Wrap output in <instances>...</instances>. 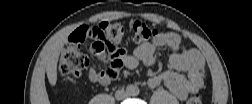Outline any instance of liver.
<instances>
[{"label":"liver","instance_id":"1","mask_svg":"<svg viewBox=\"0 0 252 104\" xmlns=\"http://www.w3.org/2000/svg\"><path fill=\"white\" fill-rule=\"evenodd\" d=\"M68 35L69 32H64L60 35L53 44L50 55L47 59L46 73L51 86H55L57 82V63L59 60L60 49L66 43Z\"/></svg>","mask_w":252,"mask_h":104}]
</instances>
